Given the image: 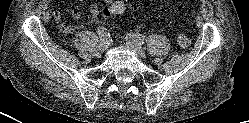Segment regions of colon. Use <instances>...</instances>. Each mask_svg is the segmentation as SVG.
Returning <instances> with one entry per match:
<instances>
[{"label": "colon", "instance_id": "1", "mask_svg": "<svg viewBox=\"0 0 249 123\" xmlns=\"http://www.w3.org/2000/svg\"><path fill=\"white\" fill-rule=\"evenodd\" d=\"M130 9L131 7L127 5L111 4L103 9V16L111 17L115 14L129 11ZM176 41L182 48H188L191 45V39L183 32L178 33Z\"/></svg>", "mask_w": 249, "mask_h": 123}]
</instances>
